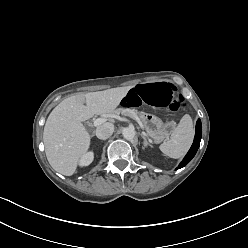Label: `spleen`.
I'll use <instances>...</instances> for the list:
<instances>
[{"instance_id": "3e777b00", "label": "spleen", "mask_w": 248, "mask_h": 248, "mask_svg": "<svg viewBox=\"0 0 248 248\" xmlns=\"http://www.w3.org/2000/svg\"><path fill=\"white\" fill-rule=\"evenodd\" d=\"M194 137L191 117L186 114L173 130L171 137L160 145V150L167 156L177 159L183 157L189 150Z\"/></svg>"}]
</instances>
